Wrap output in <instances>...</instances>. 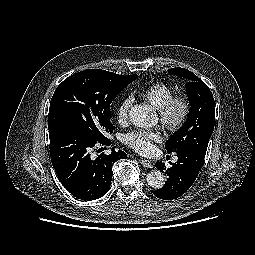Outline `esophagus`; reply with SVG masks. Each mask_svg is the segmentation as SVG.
Instances as JSON below:
<instances>
[{
    "label": "esophagus",
    "instance_id": "esophagus-1",
    "mask_svg": "<svg viewBox=\"0 0 255 255\" xmlns=\"http://www.w3.org/2000/svg\"><path fill=\"white\" fill-rule=\"evenodd\" d=\"M139 162L144 167H147V168H152L153 167L152 163L147 159H140Z\"/></svg>",
    "mask_w": 255,
    "mask_h": 255
}]
</instances>
